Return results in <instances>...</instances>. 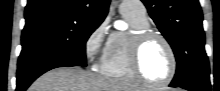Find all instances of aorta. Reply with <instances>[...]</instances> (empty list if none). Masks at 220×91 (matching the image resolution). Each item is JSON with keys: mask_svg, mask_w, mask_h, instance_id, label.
<instances>
[{"mask_svg": "<svg viewBox=\"0 0 220 91\" xmlns=\"http://www.w3.org/2000/svg\"><path fill=\"white\" fill-rule=\"evenodd\" d=\"M121 29L125 28V26L123 24H120L119 26Z\"/></svg>", "mask_w": 220, "mask_h": 91, "instance_id": "obj_1", "label": "aorta"}]
</instances>
